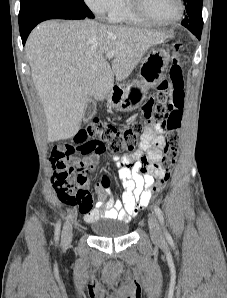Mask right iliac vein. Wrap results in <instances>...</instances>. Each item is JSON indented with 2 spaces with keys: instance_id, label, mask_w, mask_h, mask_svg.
Masks as SVG:
<instances>
[{
  "instance_id": "obj_1",
  "label": "right iliac vein",
  "mask_w": 227,
  "mask_h": 298,
  "mask_svg": "<svg viewBox=\"0 0 227 298\" xmlns=\"http://www.w3.org/2000/svg\"><path fill=\"white\" fill-rule=\"evenodd\" d=\"M72 239V225L70 222H66L62 231V242L64 246L70 244Z\"/></svg>"
}]
</instances>
